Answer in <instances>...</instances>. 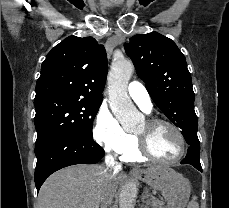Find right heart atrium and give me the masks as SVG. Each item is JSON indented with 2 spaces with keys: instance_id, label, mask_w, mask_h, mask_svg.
Returning a JSON list of instances; mask_svg holds the SVG:
<instances>
[{
  "instance_id": "obj_1",
  "label": "right heart atrium",
  "mask_w": 229,
  "mask_h": 208,
  "mask_svg": "<svg viewBox=\"0 0 229 208\" xmlns=\"http://www.w3.org/2000/svg\"><path fill=\"white\" fill-rule=\"evenodd\" d=\"M95 142L105 150L124 155L137 148V139L126 132L106 107H101L93 123Z\"/></svg>"
}]
</instances>
